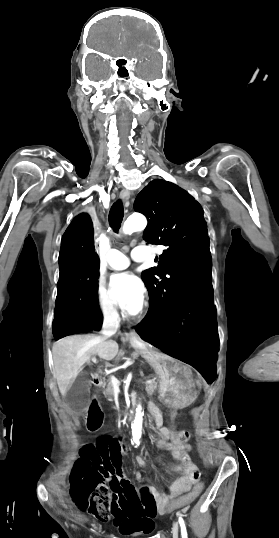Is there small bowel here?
Masks as SVG:
<instances>
[{"mask_svg":"<svg viewBox=\"0 0 279 538\" xmlns=\"http://www.w3.org/2000/svg\"><path fill=\"white\" fill-rule=\"evenodd\" d=\"M154 423L159 429L158 436L154 439V442L158 447L167 449L171 453L173 469L177 472V476L169 481L165 491L154 490L157 506L159 509H162L171 497L188 492L194 482L189 480L184 474V466L181 460L184 446L177 442V433L173 429L163 426V418L160 412L154 416ZM135 462L143 467L150 465L141 456L135 457ZM154 466L161 467L162 462H157ZM114 523L119 527L122 534L133 532L150 533L154 528L152 517L127 518L115 516Z\"/></svg>","mask_w":279,"mask_h":538,"instance_id":"c3829d8e","label":"small bowel"}]
</instances>
